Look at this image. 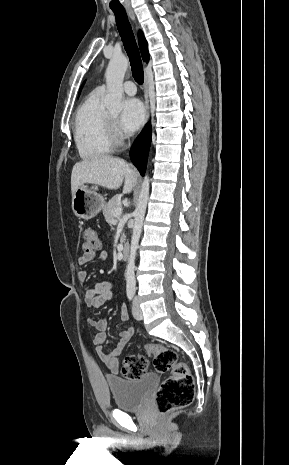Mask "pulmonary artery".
<instances>
[{
    "label": "pulmonary artery",
    "mask_w": 289,
    "mask_h": 465,
    "mask_svg": "<svg viewBox=\"0 0 289 465\" xmlns=\"http://www.w3.org/2000/svg\"><path fill=\"white\" fill-rule=\"evenodd\" d=\"M98 88L101 89V90H103V91L105 90V86H104V85L99 86ZM123 90H124V92H125L127 95H130V96L135 95V94H136V91H137L136 85H135L134 82H132V81H126V82L124 83V85H123Z\"/></svg>",
    "instance_id": "pulmonary-artery-1"
}]
</instances>
